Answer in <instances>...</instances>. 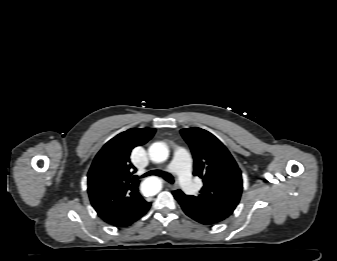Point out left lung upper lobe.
I'll return each mask as SVG.
<instances>
[{
	"label": "left lung upper lobe",
	"instance_id": "5c2ea615",
	"mask_svg": "<svg viewBox=\"0 0 337 261\" xmlns=\"http://www.w3.org/2000/svg\"><path fill=\"white\" fill-rule=\"evenodd\" d=\"M180 132L193 154V174L204 183L198 196H187L177 190L181 202L221 222L233 213L240 201L241 171L227 148L210 132L197 127Z\"/></svg>",
	"mask_w": 337,
	"mask_h": 261
}]
</instances>
